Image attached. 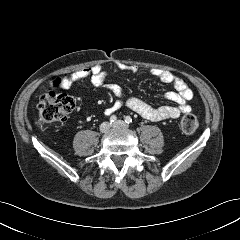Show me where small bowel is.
<instances>
[{"instance_id": "obj_1", "label": "small bowel", "mask_w": 240, "mask_h": 240, "mask_svg": "<svg viewBox=\"0 0 240 240\" xmlns=\"http://www.w3.org/2000/svg\"><path fill=\"white\" fill-rule=\"evenodd\" d=\"M114 64L119 69L137 72V67L135 66L121 62H115ZM151 75L161 83L170 84L174 87V91L168 92L165 95L167 100L175 103L174 106L153 107L137 97L125 96L124 90L120 85L105 84L106 73L99 64L84 67L70 74L68 77L70 82L80 79H89L94 87H105L111 91L116 96V99L112 105L106 109V114H111L123 105H126L145 119L161 122L178 118L181 114L190 112L191 107L188 101L192 98L193 93L182 78L175 76L169 71L160 69H152ZM65 86L68 87V84Z\"/></svg>"}]
</instances>
